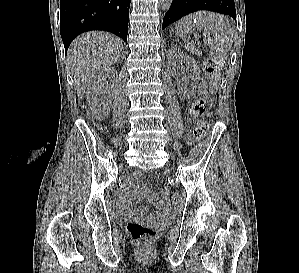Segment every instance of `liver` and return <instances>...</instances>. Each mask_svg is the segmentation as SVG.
<instances>
[{
    "label": "liver",
    "instance_id": "obj_1",
    "mask_svg": "<svg viewBox=\"0 0 299 273\" xmlns=\"http://www.w3.org/2000/svg\"><path fill=\"white\" fill-rule=\"evenodd\" d=\"M122 51V41L105 32L84 33L72 42L67 60L79 99L84 97L90 78L100 69L116 63Z\"/></svg>",
    "mask_w": 299,
    "mask_h": 273
}]
</instances>
